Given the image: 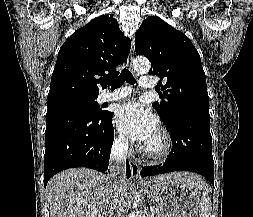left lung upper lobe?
I'll return each instance as SVG.
<instances>
[{"mask_svg": "<svg viewBox=\"0 0 253 217\" xmlns=\"http://www.w3.org/2000/svg\"><path fill=\"white\" fill-rule=\"evenodd\" d=\"M135 51L151 61L149 74L160 77L164 94L152 106L165 125L184 114L210 118L200 55L185 34L159 17H149L136 33Z\"/></svg>", "mask_w": 253, "mask_h": 217, "instance_id": "5c2ea615", "label": "left lung upper lobe"}]
</instances>
